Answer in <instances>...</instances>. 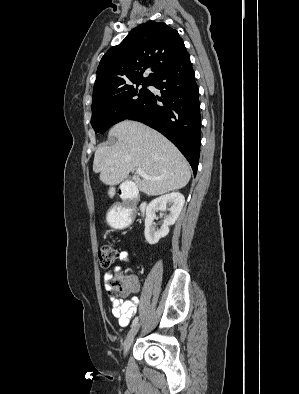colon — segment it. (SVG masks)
Here are the masks:
<instances>
[{"instance_id": "colon-1", "label": "colon", "mask_w": 299, "mask_h": 394, "mask_svg": "<svg viewBox=\"0 0 299 394\" xmlns=\"http://www.w3.org/2000/svg\"><path fill=\"white\" fill-rule=\"evenodd\" d=\"M98 259L102 267L113 265L118 259V251L111 245H102L98 249ZM133 278L129 275L118 273L109 280L108 286L116 299L129 296L132 293Z\"/></svg>"}]
</instances>
